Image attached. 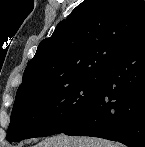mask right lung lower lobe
<instances>
[{
	"instance_id": "1",
	"label": "right lung lower lobe",
	"mask_w": 145,
	"mask_h": 147,
	"mask_svg": "<svg viewBox=\"0 0 145 147\" xmlns=\"http://www.w3.org/2000/svg\"><path fill=\"white\" fill-rule=\"evenodd\" d=\"M91 103L64 132L145 147V36L101 72Z\"/></svg>"
}]
</instances>
